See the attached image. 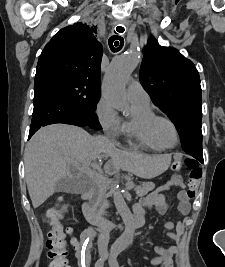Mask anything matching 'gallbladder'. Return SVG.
I'll return each mask as SVG.
<instances>
[{"label":"gallbladder","instance_id":"gallbladder-1","mask_svg":"<svg viewBox=\"0 0 225 267\" xmlns=\"http://www.w3.org/2000/svg\"><path fill=\"white\" fill-rule=\"evenodd\" d=\"M56 191L78 193L80 192V189L78 187L77 182L74 179L70 177H66V178L60 179L56 183Z\"/></svg>","mask_w":225,"mask_h":267}]
</instances>
